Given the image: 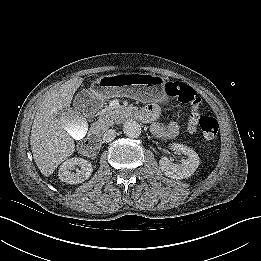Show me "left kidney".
I'll list each match as a JSON object with an SVG mask.
<instances>
[{"mask_svg":"<svg viewBox=\"0 0 261 261\" xmlns=\"http://www.w3.org/2000/svg\"><path fill=\"white\" fill-rule=\"evenodd\" d=\"M171 149L184 154L186 160L181 164H177L170 161L167 157H162L159 161L161 171L172 179H185L190 177L199 166L200 160L198 154L190 147L178 143H174Z\"/></svg>","mask_w":261,"mask_h":261,"instance_id":"1","label":"left kidney"}]
</instances>
